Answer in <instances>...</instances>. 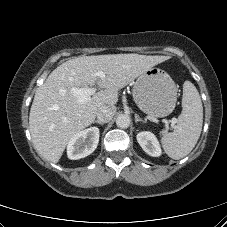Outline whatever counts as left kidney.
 <instances>
[{"instance_id":"1","label":"left kidney","mask_w":227,"mask_h":227,"mask_svg":"<svg viewBox=\"0 0 227 227\" xmlns=\"http://www.w3.org/2000/svg\"><path fill=\"white\" fill-rule=\"evenodd\" d=\"M136 138L139 145L147 154L153 157L161 155L160 144L153 133L147 131L139 132Z\"/></svg>"}]
</instances>
